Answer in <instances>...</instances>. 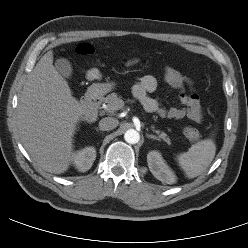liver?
I'll list each match as a JSON object with an SVG mask.
<instances>
[{"mask_svg":"<svg viewBox=\"0 0 248 248\" xmlns=\"http://www.w3.org/2000/svg\"><path fill=\"white\" fill-rule=\"evenodd\" d=\"M17 113L19 136L33 161L50 173L66 172L74 154L77 125L88 110L72 96L67 81L53 66L52 51L29 74Z\"/></svg>","mask_w":248,"mask_h":248,"instance_id":"obj_1","label":"liver"}]
</instances>
